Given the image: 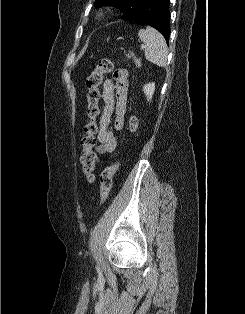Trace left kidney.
<instances>
[{"label": "left kidney", "mask_w": 245, "mask_h": 314, "mask_svg": "<svg viewBox=\"0 0 245 314\" xmlns=\"http://www.w3.org/2000/svg\"><path fill=\"white\" fill-rule=\"evenodd\" d=\"M155 91V83H148L144 85L143 92L147 97V100L150 101Z\"/></svg>", "instance_id": "left-kidney-1"}]
</instances>
